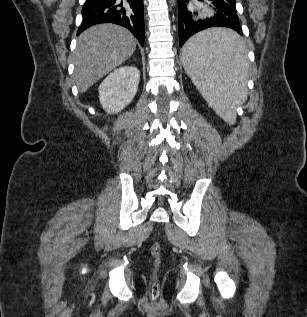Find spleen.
<instances>
[{"label":"spleen","instance_id":"spleen-1","mask_svg":"<svg viewBox=\"0 0 307 317\" xmlns=\"http://www.w3.org/2000/svg\"><path fill=\"white\" fill-rule=\"evenodd\" d=\"M247 42L227 26H210L183 47L182 62L204 99L225 122L236 121V107L247 99Z\"/></svg>","mask_w":307,"mask_h":317}]
</instances>
